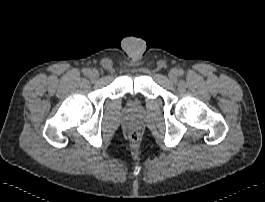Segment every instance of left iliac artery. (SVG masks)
Returning <instances> with one entry per match:
<instances>
[{
  "instance_id": "obj_1",
  "label": "left iliac artery",
  "mask_w": 265,
  "mask_h": 202,
  "mask_svg": "<svg viewBox=\"0 0 265 202\" xmlns=\"http://www.w3.org/2000/svg\"><path fill=\"white\" fill-rule=\"evenodd\" d=\"M177 74L179 76H183L184 75V71L182 69H179V70H177Z\"/></svg>"
}]
</instances>
